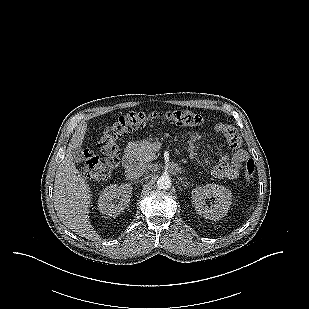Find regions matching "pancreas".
Returning a JSON list of instances; mask_svg holds the SVG:
<instances>
[{
    "mask_svg": "<svg viewBox=\"0 0 309 309\" xmlns=\"http://www.w3.org/2000/svg\"><path fill=\"white\" fill-rule=\"evenodd\" d=\"M133 154L135 160L139 163H147L157 158L152 144L148 141L135 143Z\"/></svg>",
    "mask_w": 309,
    "mask_h": 309,
    "instance_id": "cf45deb5",
    "label": "pancreas"
}]
</instances>
